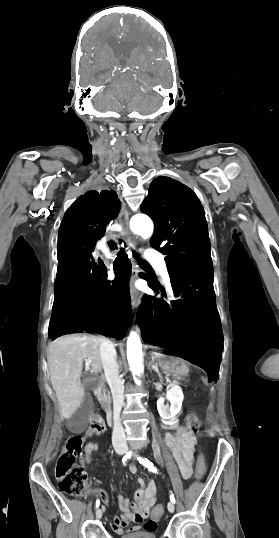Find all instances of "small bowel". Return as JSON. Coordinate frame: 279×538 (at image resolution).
Here are the masks:
<instances>
[{"label": "small bowel", "instance_id": "1", "mask_svg": "<svg viewBox=\"0 0 279 538\" xmlns=\"http://www.w3.org/2000/svg\"><path fill=\"white\" fill-rule=\"evenodd\" d=\"M165 428L170 430V433L164 437V443L173 451L182 477L189 479L192 475V459L196 439L188 434L179 424L167 423ZM97 449L98 446L96 443L91 442L85 446L84 457L82 459L83 465L91 462L92 453ZM154 450L156 456L159 458L160 446L158 443L154 444ZM129 472L135 474L137 472L136 466L131 465ZM138 483L140 487L135 492L134 504L124 496L118 495L121 514L111 523L112 530L117 534L137 531L141 528L148 531H154L156 529V522L154 520H147V518L156 502L158 486L155 481H150L147 487H145V481L142 478L138 479ZM105 502L108 503L107 496H105ZM130 522H134L135 525L129 526Z\"/></svg>", "mask_w": 279, "mask_h": 538}]
</instances>
